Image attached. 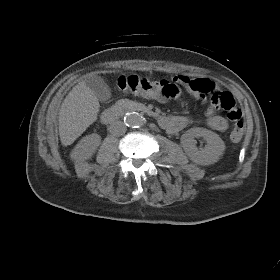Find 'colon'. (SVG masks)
Masks as SVG:
<instances>
[{"mask_svg": "<svg viewBox=\"0 0 280 280\" xmlns=\"http://www.w3.org/2000/svg\"><path fill=\"white\" fill-rule=\"evenodd\" d=\"M116 88L126 93L139 94L160 100L173 99L180 94V85L174 80H150L135 75L119 77L116 82ZM200 91L211 93L210 100L212 105L215 108L224 109L227 113V119L235 122L230 138L234 142L240 141L244 134V125L240 121L241 110L237 107L233 96L228 92L215 91L212 85H207Z\"/></svg>", "mask_w": 280, "mask_h": 280, "instance_id": "5ec220e1", "label": "colon"}]
</instances>
